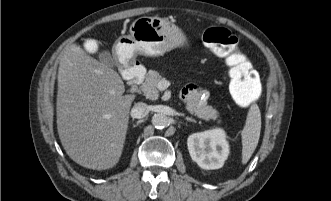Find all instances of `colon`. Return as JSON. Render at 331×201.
I'll return each mask as SVG.
<instances>
[{
    "label": "colon",
    "mask_w": 331,
    "mask_h": 201,
    "mask_svg": "<svg viewBox=\"0 0 331 201\" xmlns=\"http://www.w3.org/2000/svg\"><path fill=\"white\" fill-rule=\"evenodd\" d=\"M202 39L215 54L225 59L234 101L241 107L251 106L261 94V83L247 58L239 51L237 38L226 28L209 27L203 31ZM85 46L90 53L98 50L93 39L87 40Z\"/></svg>",
    "instance_id": "1"
}]
</instances>
